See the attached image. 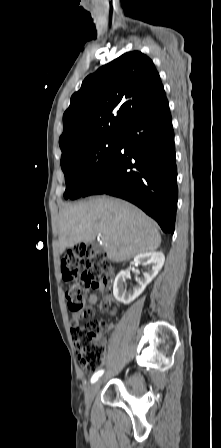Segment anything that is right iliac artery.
I'll return each mask as SVG.
<instances>
[{"mask_svg":"<svg viewBox=\"0 0 221 448\" xmlns=\"http://www.w3.org/2000/svg\"><path fill=\"white\" fill-rule=\"evenodd\" d=\"M104 373V370H100L98 372H96L92 378H91V383H94L98 380V378Z\"/></svg>","mask_w":221,"mask_h":448,"instance_id":"obj_1","label":"right iliac artery"}]
</instances>
